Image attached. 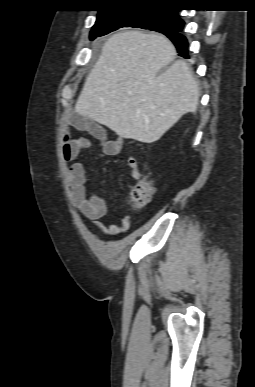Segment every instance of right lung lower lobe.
Instances as JSON below:
<instances>
[{
    "mask_svg": "<svg viewBox=\"0 0 255 387\" xmlns=\"http://www.w3.org/2000/svg\"><path fill=\"white\" fill-rule=\"evenodd\" d=\"M180 30H173V31H163L161 33L165 34L170 40L174 43V45L177 48V51L180 56L184 58H189L188 57V43L187 39L185 36H183L180 32Z\"/></svg>",
    "mask_w": 255,
    "mask_h": 387,
    "instance_id": "right-lung-lower-lobe-1",
    "label": "right lung lower lobe"
}]
</instances>
